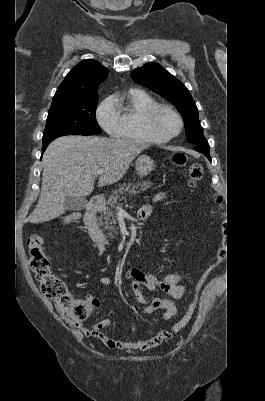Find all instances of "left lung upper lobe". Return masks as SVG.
<instances>
[{
    "mask_svg": "<svg viewBox=\"0 0 265 401\" xmlns=\"http://www.w3.org/2000/svg\"><path fill=\"white\" fill-rule=\"evenodd\" d=\"M140 83L174 104L183 117L187 141L200 144L206 139L198 118V109L185 85L161 65L148 63L131 74Z\"/></svg>",
    "mask_w": 265,
    "mask_h": 401,
    "instance_id": "5c2ea615",
    "label": "left lung upper lobe"
}]
</instances>
